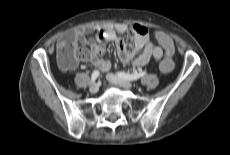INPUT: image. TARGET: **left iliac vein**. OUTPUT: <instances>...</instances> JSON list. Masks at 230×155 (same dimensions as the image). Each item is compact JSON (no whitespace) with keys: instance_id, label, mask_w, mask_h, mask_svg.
<instances>
[{"instance_id":"obj_1","label":"left iliac vein","mask_w":230,"mask_h":155,"mask_svg":"<svg viewBox=\"0 0 230 155\" xmlns=\"http://www.w3.org/2000/svg\"><path fill=\"white\" fill-rule=\"evenodd\" d=\"M106 78L110 83L116 84V85H121L125 88H132L134 86L131 82L124 80V79L120 78L119 76L112 74V73L107 74Z\"/></svg>"}]
</instances>
